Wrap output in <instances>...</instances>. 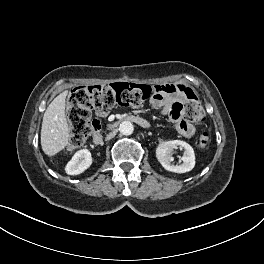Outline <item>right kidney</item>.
Instances as JSON below:
<instances>
[{"label":"right kidney","instance_id":"right-kidney-1","mask_svg":"<svg viewBox=\"0 0 264 264\" xmlns=\"http://www.w3.org/2000/svg\"><path fill=\"white\" fill-rule=\"evenodd\" d=\"M92 164V156L88 149L77 151L72 159L67 163L65 172L69 175H78L83 173Z\"/></svg>","mask_w":264,"mask_h":264}]
</instances>
